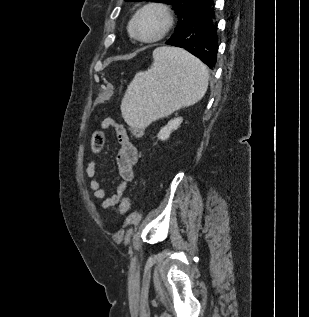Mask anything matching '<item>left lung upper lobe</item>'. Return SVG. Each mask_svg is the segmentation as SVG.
I'll use <instances>...</instances> for the list:
<instances>
[{"label": "left lung upper lobe", "instance_id": "left-lung-upper-lobe-1", "mask_svg": "<svg viewBox=\"0 0 309 317\" xmlns=\"http://www.w3.org/2000/svg\"><path fill=\"white\" fill-rule=\"evenodd\" d=\"M125 1H149V0H125ZM171 4L178 16V25L175 34L180 32L187 24L192 13L204 5L208 0H150Z\"/></svg>", "mask_w": 309, "mask_h": 317}]
</instances>
